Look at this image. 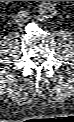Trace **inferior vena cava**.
Returning <instances> with one entry per match:
<instances>
[{
	"mask_svg": "<svg viewBox=\"0 0 74 122\" xmlns=\"http://www.w3.org/2000/svg\"><path fill=\"white\" fill-rule=\"evenodd\" d=\"M29 19V12L28 11H19L17 14V22L23 23Z\"/></svg>",
	"mask_w": 74,
	"mask_h": 122,
	"instance_id": "602c4592",
	"label": "inferior vena cava"
}]
</instances>
